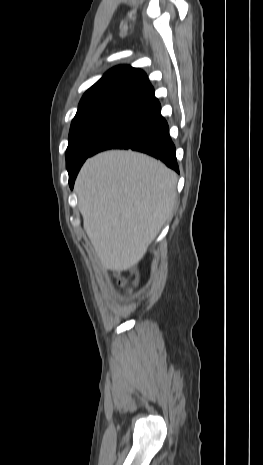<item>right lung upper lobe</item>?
Instances as JSON below:
<instances>
[{"mask_svg": "<svg viewBox=\"0 0 263 465\" xmlns=\"http://www.w3.org/2000/svg\"><path fill=\"white\" fill-rule=\"evenodd\" d=\"M153 91L144 71L131 66H118L105 73L87 90L79 106L107 99L139 101Z\"/></svg>", "mask_w": 263, "mask_h": 465, "instance_id": "cb5924a9", "label": "right lung upper lobe"}]
</instances>
